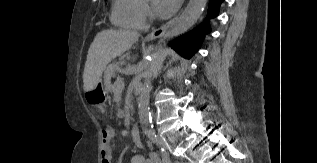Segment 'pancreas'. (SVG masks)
<instances>
[{
	"instance_id": "pancreas-1",
	"label": "pancreas",
	"mask_w": 317,
	"mask_h": 163,
	"mask_svg": "<svg viewBox=\"0 0 317 163\" xmlns=\"http://www.w3.org/2000/svg\"><path fill=\"white\" fill-rule=\"evenodd\" d=\"M116 68H117V64L116 63H112L110 65H108V67L105 69L104 72V81H105V86H106V90L109 92H114V86L111 84V78L116 76Z\"/></svg>"
}]
</instances>
